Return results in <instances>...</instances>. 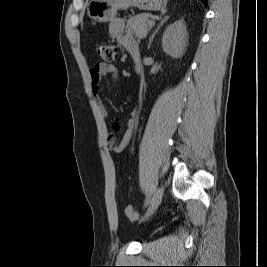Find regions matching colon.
Segmentation results:
<instances>
[{"label": "colon", "mask_w": 267, "mask_h": 267, "mask_svg": "<svg viewBox=\"0 0 267 267\" xmlns=\"http://www.w3.org/2000/svg\"><path fill=\"white\" fill-rule=\"evenodd\" d=\"M96 53L103 61L111 62L115 57L116 48L110 44L100 43L96 46ZM125 214L131 221H135L138 217L136 210L131 205L125 208Z\"/></svg>", "instance_id": "colon-1"}]
</instances>
